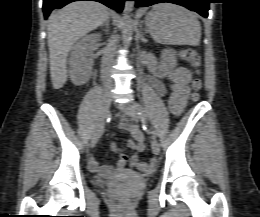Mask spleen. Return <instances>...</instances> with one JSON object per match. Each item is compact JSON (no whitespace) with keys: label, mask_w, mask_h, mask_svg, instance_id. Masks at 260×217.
Listing matches in <instances>:
<instances>
[{"label":"spleen","mask_w":260,"mask_h":217,"mask_svg":"<svg viewBox=\"0 0 260 217\" xmlns=\"http://www.w3.org/2000/svg\"><path fill=\"white\" fill-rule=\"evenodd\" d=\"M145 23L153 39L169 45H198L201 26L192 11L170 3L154 5Z\"/></svg>","instance_id":"1"}]
</instances>
